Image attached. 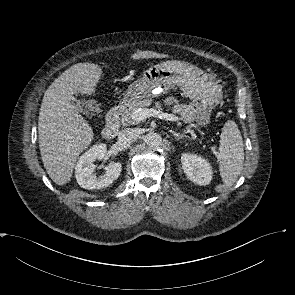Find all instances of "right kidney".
<instances>
[{
  "instance_id": "1",
  "label": "right kidney",
  "mask_w": 295,
  "mask_h": 295,
  "mask_svg": "<svg viewBox=\"0 0 295 295\" xmlns=\"http://www.w3.org/2000/svg\"><path fill=\"white\" fill-rule=\"evenodd\" d=\"M106 145L103 143L93 145L78 160L75 167L77 183L84 189H102L108 187L116 180L120 173L122 165L117 162L109 165L102 176L94 174V162L102 160L106 154Z\"/></svg>"
}]
</instances>
